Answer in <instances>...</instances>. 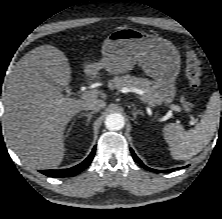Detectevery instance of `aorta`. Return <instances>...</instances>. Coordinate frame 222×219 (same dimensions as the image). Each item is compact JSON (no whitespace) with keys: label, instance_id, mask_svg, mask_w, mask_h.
<instances>
[{"label":"aorta","instance_id":"obj_1","mask_svg":"<svg viewBox=\"0 0 222 219\" xmlns=\"http://www.w3.org/2000/svg\"><path fill=\"white\" fill-rule=\"evenodd\" d=\"M124 117L119 113H112L106 117L105 126L110 131H118L124 127Z\"/></svg>","mask_w":222,"mask_h":219}]
</instances>
